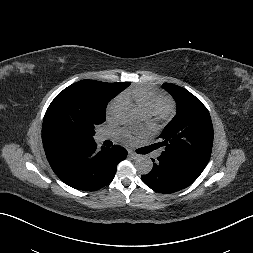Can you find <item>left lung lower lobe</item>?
I'll return each instance as SVG.
<instances>
[{"mask_svg":"<svg viewBox=\"0 0 253 253\" xmlns=\"http://www.w3.org/2000/svg\"><path fill=\"white\" fill-rule=\"evenodd\" d=\"M152 161L154 163L152 170L141 178L151 189L165 194L188 187L204 170L162 154L157 160L152 159Z\"/></svg>","mask_w":253,"mask_h":253,"instance_id":"obj_1","label":"left lung lower lobe"}]
</instances>
